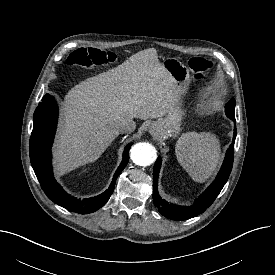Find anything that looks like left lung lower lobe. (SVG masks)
Listing matches in <instances>:
<instances>
[{
    "label": "left lung lower lobe",
    "mask_w": 275,
    "mask_h": 275,
    "mask_svg": "<svg viewBox=\"0 0 275 275\" xmlns=\"http://www.w3.org/2000/svg\"><path fill=\"white\" fill-rule=\"evenodd\" d=\"M235 121V119H232ZM236 138V125H234V135L232 143L226 152V156L222 167L215 179V181L207 188V190L195 201L193 206H177L167 203L163 200L158 193V175L161 168L162 159L159 156L153 169V200L155 206L159 212L172 220H186L193 218L202 212H204L216 199L223 186L227 182L230 172L233 166V154H234V143Z\"/></svg>",
    "instance_id": "0a47b994"
}]
</instances>
